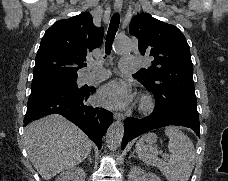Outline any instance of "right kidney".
Returning <instances> with one entry per match:
<instances>
[{
    "label": "right kidney",
    "mask_w": 228,
    "mask_h": 181,
    "mask_svg": "<svg viewBox=\"0 0 228 181\" xmlns=\"http://www.w3.org/2000/svg\"><path fill=\"white\" fill-rule=\"evenodd\" d=\"M86 173L81 167H73L64 173H60L56 181H85Z\"/></svg>",
    "instance_id": "1"
}]
</instances>
